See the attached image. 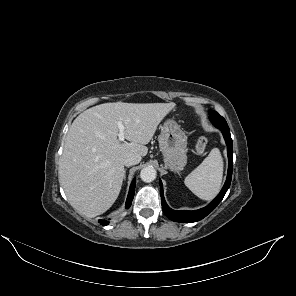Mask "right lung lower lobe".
Wrapping results in <instances>:
<instances>
[{
	"instance_id": "98d812e1",
	"label": "right lung lower lobe",
	"mask_w": 296,
	"mask_h": 296,
	"mask_svg": "<svg viewBox=\"0 0 296 296\" xmlns=\"http://www.w3.org/2000/svg\"><path fill=\"white\" fill-rule=\"evenodd\" d=\"M135 182L136 180L133 179L132 183H131V186H130V189H129V194H128V197H127V201H126V205L125 207L128 209L130 206H131V203H132V200H133V197H134V192H135ZM102 225H107L109 222L108 221H105V220H100L99 221Z\"/></svg>"
}]
</instances>
